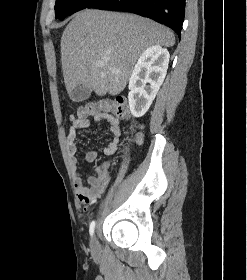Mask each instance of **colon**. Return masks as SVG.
<instances>
[{
  "instance_id": "colon-1",
  "label": "colon",
  "mask_w": 247,
  "mask_h": 280,
  "mask_svg": "<svg viewBox=\"0 0 247 280\" xmlns=\"http://www.w3.org/2000/svg\"><path fill=\"white\" fill-rule=\"evenodd\" d=\"M101 113H112L116 118L120 119H125L129 116L126 101L122 98H117L115 100L103 99L97 102H89L80 106L76 114L72 116V119H83L86 116ZM96 172L97 175H101L104 172L103 165L96 168Z\"/></svg>"
}]
</instances>
